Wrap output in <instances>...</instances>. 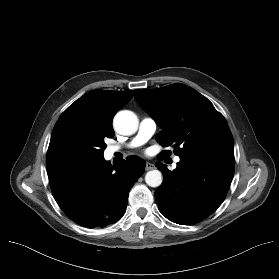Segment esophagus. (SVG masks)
<instances>
[{
	"label": "esophagus",
	"instance_id": "obj_1",
	"mask_svg": "<svg viewBox=\"0 0 279 279\" xmlns=\"http://www.w3.org/2000/svg\"><path fill=\"white\" fill-rule=\"evenodd\" d=\"M155 166L154 164L150 163V162H146V166H145V169L148 171V170H152L154 169Z\"/></svg>",
	"mask_w": 279,
	"mask_h": 279
}]
</instances>
